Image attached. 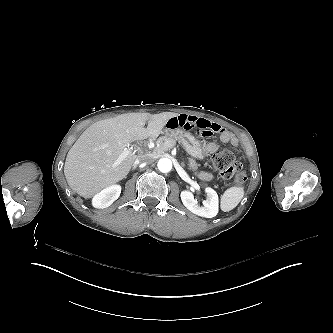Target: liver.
<instances>
[{
    "instance_id": "1",
    "label": "liver",
    "mask_w": 333,
    "mask_h": 333,
    "mask_svg": "<svg viewBox=\"0 0 333 333\" xmlns=\"http://www.w3.org/2000/svg\"><path fill=\"white\" fill-rule=\"evenodd\" d=\"M177 113H127L89 126L69 150L64 174L68 185L84 198L122 180L139 156L129 154L119 166L112 164L136 140L158 137ZM146 121L148 126L145 128Z\"/></svg>"
}]
</instances>
